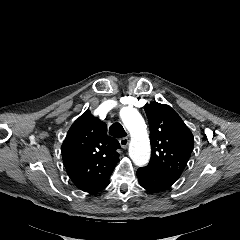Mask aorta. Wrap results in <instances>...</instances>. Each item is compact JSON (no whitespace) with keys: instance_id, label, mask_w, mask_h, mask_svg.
Masks as SVG:
<instances>
[{"instance_id":"aorta-1","label":"aorta","mask_w":240,"mask_h":240,"mask_svg":"<svg viewBox=\"0 0 240 240\" xmlns=\"http://www.w3.org/2000/svg\"><path fill=\"white\" fill-rule=\"evenodd\" d=\"M120 117L131 135L129 156L137 166H144L150 159V143L147 127L141 114L131 107H124Z\"/></svg>"}]
</instances>
